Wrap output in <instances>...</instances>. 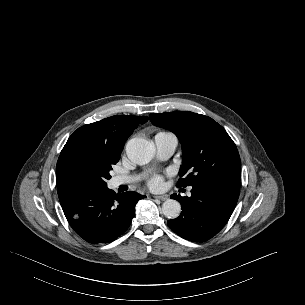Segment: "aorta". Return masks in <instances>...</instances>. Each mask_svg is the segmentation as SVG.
<instances>
[{"label": "aorta", "mask_w": 305, "mask_h": 305, "mask_svg": "<svg viewBox=\"0 0 305 305\" xmlns=\"http://www.w3.org/2000/svg\"><path fill=\"white\" fill-rule=\"evenodd\" d=\"M155 153L154 146L145 139L133 138L126 144V154L130 161L138 165L149 163ZM181 205L178 201L168 199L162 204V213L168 219H175L180 215Z\"/></svg>", "instance_id": "762f6f07"}]
</instances>
